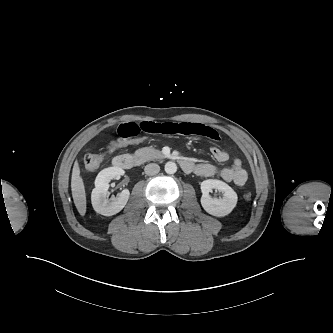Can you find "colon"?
Masks as SVG:
<instances>
[{
    "mask_svg": "<svg viewBox=\"0 0 333 333\" xmlns=\"http://www.w3.org/2000/svg\"><path fill=\"white\" fill-rule=\"evenodd\" d=\"M143 140V138H119L106 147V150L100 154H88L84 159V164L87 170L95 171L104 163L108 156H110L116 150L128 146L129 144L139 143ZM251 194L245 193L244 198L247 201L251 200Z\"/></svg>",
    "mask_w": 333,
    "mask_h": 333,
    "instance_id": "obj_1",
    "label": "colon"
}]
</instances>
